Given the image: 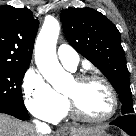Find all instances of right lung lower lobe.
<instances>
[{"instance_id":"obj_1","label":"right lung lower lobe","mask_w":136,"mask_h":136,"mask_svg":"<svg viewBox=\"0 0 136 136\" xmlns=\"http://www.w3.org/2000/svg\"><path fill=\"white\" fill-rule=\"evenodd\" d=\"M0 113H6L9 115H12L20 120H27L29 118V115L27 114V112H22L17 110L4 109V110H0Z\"/></svg>"}]
</instances>
